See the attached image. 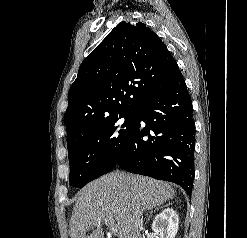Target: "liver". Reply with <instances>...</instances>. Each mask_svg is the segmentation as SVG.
<instances>
[{"label":"liver","instance_id":"obj_1","mask_svg":"<svg viewBox=\"0 0 247 238\" xmlns=\"http://www.w3.org/2000/svg\"><path fill=\"white\" fill-rule=\"evenodd\" d=\"M175 195L163 181L111 172L90 182L78 192L70 219V238H104L103 220H116L119 238H139L136 211L162 205ZM96 229L90 234L86 232Z\"/></svg>","mask_w":247,"mask_h":238}]
</instances>
